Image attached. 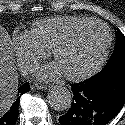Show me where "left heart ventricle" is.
<instances>
[{
    "label": "left heart ventricle",
    "mask_w": 125,
    "mask_h": 125,
    "mask_svg": "<svg viewBox=\"0 0 125 125\" xmlns=\"http://www.w3.org/2000/svg\"><path fill=\"white\" fill-rule=\"evenodd\" d=\"M106 39V31L102 26H86L58 51L55 60L65 74L83 72L97 62Z\"/></svg>",
    "instance_id": "obj_1"
}]
</instances>
